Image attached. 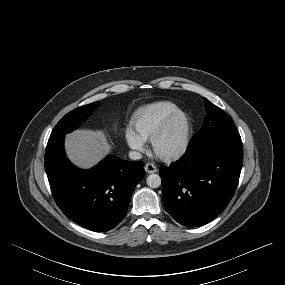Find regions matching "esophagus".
Listing matches in <instances>:
<instances>
[{
    "label": "esophagus",
    "mask_w": 285,
    "mask_h": 285,
    "mask_svg": "<svg viewBox=\"0 0 285 285\" xmlns=\"http://www.w3.org/2000/svg\"><path fill=\"white\" fill-rule=\"evenodd\" d=\"M144 169L147 173H155L157 171V167L153 163H146Z\"/></svg>",
    "instance_id": "34e87169"
}]
</instances>
